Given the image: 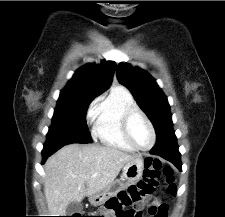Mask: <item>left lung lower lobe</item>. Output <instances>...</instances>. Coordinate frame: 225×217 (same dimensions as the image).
Segmentation results:
<instances>
[{
  "label": "left lung lower lobe",
  "mask_w": 225,
  "mask_h": 217,
  "mask_svg": "<svg viewBox=\"0 0 225 217\" xmlns=\"http://www.w3.org/2000/svg\"><path fill=\"white\" fill-rule=\"evenodd\" d=\"M152 154H157L161 157H163L164 159L172 162L178 169H181V160H180V153L178 151V147L170 149V150H166V151H162V152H152L150 151Z\"/></svg>",
  "instance_id": "obj_1"
}]
</instances>
